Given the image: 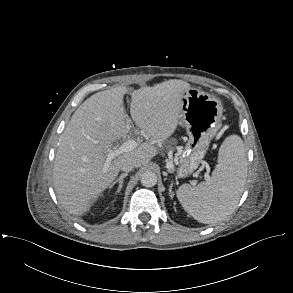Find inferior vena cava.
I'll return each mask as SVG.
<instances>
[{"mask_svg":"<svg viewBox=\"0 0 293 293\" xmlns=\"http://www.w3.org/2000/svg\"><path fill=\"white\" fill-rule=\"evenodd\" d=\"M134 167V162L131 159H126L121 165V170L124 172H130Z\"/></svg>","mask_w":293,"mask_h":293,"instance_id":"obj_1","label":"inferior vena cava"}]
</instances>
